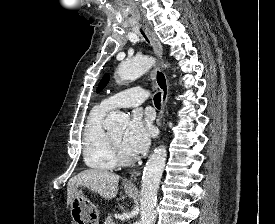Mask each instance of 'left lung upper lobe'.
I'll use <instances>...</instances> for the list:
<instances>
[{"mask_svg":"<svg viewBox=\"0 0 275 224\" xmlns=\"http://www.w3.org/2000/svg\"><path fill=\"white\" fill-rule=\"evenodd\" d=\"M109 75L105 74L104 77L102 78L101 82L99 83V86L97 88V92H100L108 83L109 81Z\"/></svg>","mask_w":275,"mask_h":224,"instance_id":"left-lung-upper-lobe-1","label":"left lung upper lobe"}]
</instances>
